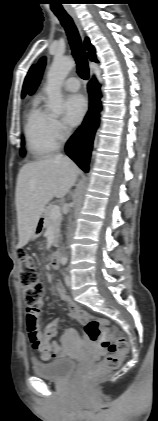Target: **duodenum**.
Wrapping results in <instances>:
<instances>
[{"mask_svg": "<svg viewBox=\"0 0 158 421\" xmlns=\"http://www.w3.org/2000/svg\"><path fill=\"white\" fill-rule=\"evenodd\" d=\"M62 261V256L59 251H56L51 256V264L54 268H58Z\"/></svg>", "mask_w": 158, "mask_h": 421, "instance_id": "duodenum-1", "label": "duodenum"}]
</instances>
